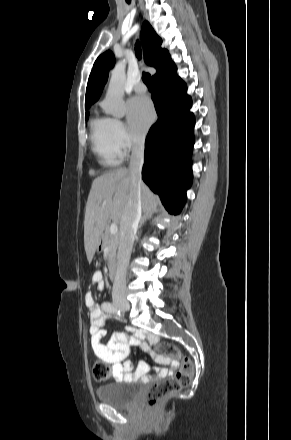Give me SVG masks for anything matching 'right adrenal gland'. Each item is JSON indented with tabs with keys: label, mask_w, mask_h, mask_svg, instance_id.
Segmentation results:
<instances>
[{
	"label": "right adrenal gland",
	"mask_w": 291,
	"mask_h": 440,
	"mask_svg": "<svg viewBox=\"0 0 291 440\" xmlns=\"http://www.w3.org/2000/svg\"><path fill=\"white\" fill-rule=\"evenodd\" d=\"M151 217H152V214H144V215L141 217L140 224H139V228H141L142 225H143L147 220H149Z\"/></svg>",
	"instance_id": "right-adrenal-gland-1"
}]
</instances>
